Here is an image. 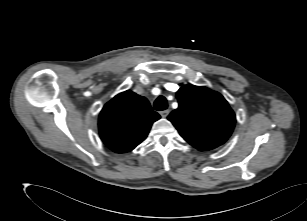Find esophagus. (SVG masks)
<instances>
[{"label":"esophagus","instance_id":"obj_1","mask_svg":"<svg viewBox=\"0 0 307 221\" xmlns=\"http://www.w3.org/2000/svg\"><path fill=\"white\" fill-rule=\"evenodd\" d=\"M170 113V110L169 109H166V110H163L160 112V115L163 117V118H166Z\"/></svg>","mask_w":307,"mask_h":221}]
</instances>
